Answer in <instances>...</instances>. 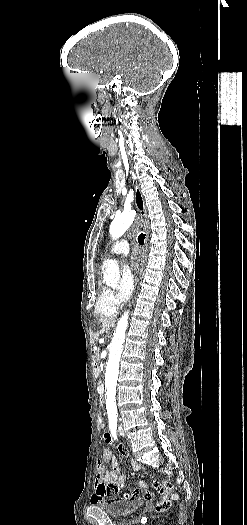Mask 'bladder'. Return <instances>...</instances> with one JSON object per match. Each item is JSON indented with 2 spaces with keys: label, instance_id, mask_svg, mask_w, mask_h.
Masks as SVG:
<instances>
[{
  "label": "bladder",
  "instance_id": "bladder-1",
  "mask_svg": "<svg viewBox=\"0 0 247 525\" xmlns=\"http://www.w3.org/2000/svg\"><path fill=\"white\" fill-rule=\"evenodd\" d=\"M94 506L102 510L109 517H122L127 514L136 512L142 505V499L132 502L128 499H118L114 501H99L92 503Z\"/></svg>",
  "mask_w": 247,
  "mask_h": 525
}]
</instances>
